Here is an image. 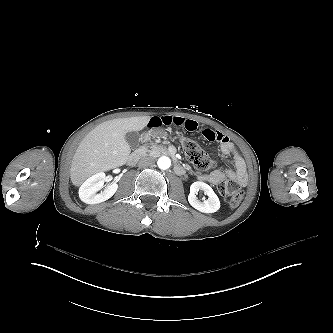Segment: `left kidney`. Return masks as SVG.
Segmentation results:
<instances>
[{"label":"left kidney","mask_w":333,"mask_h":333,"mask_svg":"<svg viewBox=\"0 0 333 333\" xmlns=\"http://www.w3.org/2000/svg\"><path fill=\"white\" fill-rule=\"evenodd\" d=\"M203 190L208 196V200L200 202L195 195V192ZM189 204L196 210L202 213H215L220 209V200L214 193L213 189L206 183L196 181L191 185V192L187 197Z\"/></svg>","instance_id":"obj_1"}]
</instances>
